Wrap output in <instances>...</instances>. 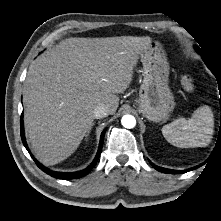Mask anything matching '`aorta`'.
<instances>
[{"instance_id":"1","label":"aorta","mask_w":221,"mask_h":221,"mask_svg":"<svg viewBox=\"0 0 221 221\" xmlns=\"http://www.w3.org/2000/svg\"><path fill=\"white\" fill-rule=\"evenodd\" d=\"M121 124L123 125V127L127 128V129H131V128L135 127L136 119L132 115H124L121 119Z\"/></svg>"}]
</instances>
